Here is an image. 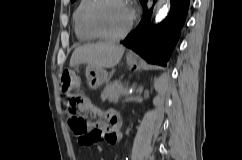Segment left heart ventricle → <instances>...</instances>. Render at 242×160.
<instances>
[{
	"label": "left heart ventricle",
	"mask_w": 242,
	"mask_h": 160,
	"mask_svg": "<svg viewBox=\"0 0 242 160\" xmlns=\"http://www.w3.org/2000/svg\"><path fill=\"white\" fill-rule=\"evenodd\" d=\"M131 7L124 0H104L95 13L99 28L111 35L122 33L131 19Z\"/></svg>",
	"instance_id": "b2bd125f"
}]
</instances>
